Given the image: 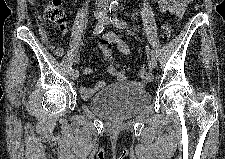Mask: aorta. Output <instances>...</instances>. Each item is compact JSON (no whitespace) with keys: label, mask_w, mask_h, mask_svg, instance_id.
<instances>
[{"label":"aorta","mask_w":225,"mask_h":159,"mask_svg":"<svg viewBox=\"0 0 225 159\" xmlns=\"http://www.w3.org/2000/svg\"><path fill=\"white\" fill-rule=\"evenodd\" d=\"M111 5H112V6H117V5H118V1H117V0H113V1L111 2Z\"/></svg>","instance_id":"obj_1"}]
</instances>
